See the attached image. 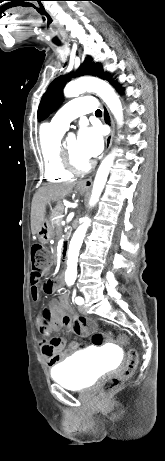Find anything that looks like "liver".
Returning <instances> with one entry per match:
<instances>
[{
	"instance_id": "1",
	"label": "liver",
	"mask_w": 165,
	"mask_h": 461,
	"mask_svg": "<svg viewBox=\"0 0 165 461\" xmlns=\"http://www.w3.org/2000/svg\"><path fill=\"white\" fill-rule=\"evenodd\" d=\"M76 183L53 184L41 187L34 195L31 206V232L33 235L41 228L49 202H60L68 196Z\"/></svg>"
}]
</instances>
